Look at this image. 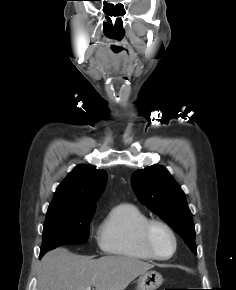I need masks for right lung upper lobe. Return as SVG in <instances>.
<instances>
[{"instance_id": "1", "label": "right lung upper lobe", "mask_w": 236, "mask_h": 290, "mask_svg": "<svg viewBox=\"0 0 236 290\" xmlns=\"http://www.w3.org/2000/svg\"><path fill=\"white\" fill-rule=\"evenodd\" d=\"M106 181V171L78 165L57 187L47 214L95 211V203L103 192Z\"/></svg>"}]
</instances>
